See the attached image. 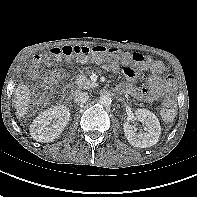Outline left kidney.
<instances>
[{
  "label": "left kidney",
  "instance_id": "5707ae66",
  "mask_svg": "<svg viewBox=\"0 0 197 197\" xmlns=\"http://www.w3.org/2000/svg\"><path fill=\"white\" fill-rule=\"evenodd\" d=\"M135 120L144 124L145 132L137 133L135 127L126 122L123 129L128 142L139 148L155 145L161 135V126L156 115L147 109H138L135 111Z\"/></svg>",
  "mask_w": 197,
  "mask_h": 197
}]
</instances>
